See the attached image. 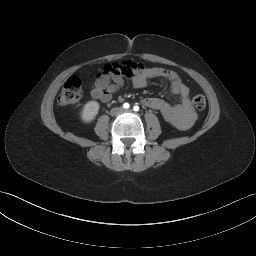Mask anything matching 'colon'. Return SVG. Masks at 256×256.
I'll list each match as a JSON object with an SVG mask.
<instances>
[{"instance_id":"1","label":"colon","mask_w":256,"mask_h":256,"mask_svg":"<svg viewBox=\"0 0 256 256\" xmlns=\"http://www.w3.org/2000/svg\"><path fill=\"white\" fill-rule=\"evenodd\" d=\"M117 72H121L124 75H129L131 73V70L127 67L119 66L116 64H108L103 68L99 76H109ZM81 85L82 83L78 76L74 75L69 77L62 87V90L58 98V102L61 105H67L77 102L81 98L82 94ZM192 104L195 109L201 111L206 107V97L203 94L198 93L194 95L192 99Z\"/></svg>"}]
</instances>
